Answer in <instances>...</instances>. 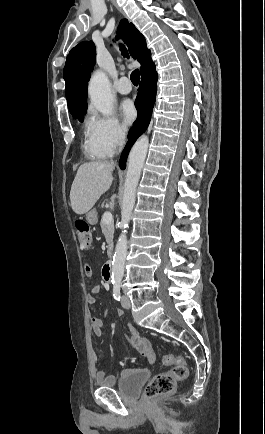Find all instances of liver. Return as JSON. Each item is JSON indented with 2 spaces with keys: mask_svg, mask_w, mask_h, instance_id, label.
I'll use <instances>...</instances> for the list:
<instances>
[{
  "mask_svg": "<svg viewBox=\"0 0 265 434\" xmlns=\"http://www.w3.org/2000/svg\"><path fill=\"white\" fill-rule=\"evenodd\" d=\"M115 164L110 162H89L80 166L70 192V200L75 214H86L100 196L109 190Z\"/></svg>",
  "mask_w": 265,
  "mask_h": 434,
  "instance_id": "6515ba94",
  "label": "liver"
}]
</instances>
